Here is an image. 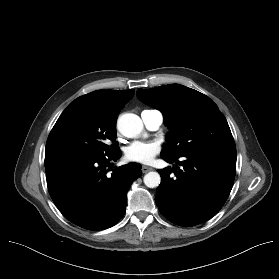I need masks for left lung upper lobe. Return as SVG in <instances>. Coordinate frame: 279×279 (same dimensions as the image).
<instances>
[{"label":"left lung upper lobe","instance_id":"obj_1","mask_svg":"<svg viewBox=\"0 0 279 279\" xmlns=\"http://www.w3.org/2000/svg\"><path fill=\"white\" fill-rule=\"evenodd\" d=\"M138 98L160 110L170 130L161 157L179 158L189 152L236 149L226 118L206 95L179 85L138 89Z\"/></svg>","mask_w":279,"mask_h":279}]
</instances>
